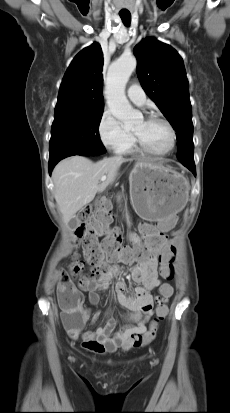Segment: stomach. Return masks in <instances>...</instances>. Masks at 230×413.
I'll return each mask as SVG.
<instances>
[{
  "label": "stomach",
  "instance_id": "stomach-1",
  "mask_svg": "<svg viewBox=\"0 0 230 413\" xmlns=\"http://www.w3.org/2000/svg\"><path fill=\"white\" fill-rule=\"evenodd\" d=\"M130 199L141 218H170L186 205L189 182L180 173L154 160L135 164L129 176Z\"/></svg>",
  "mask_w": 230,
  "mask_h": 413
}]
</instances>
